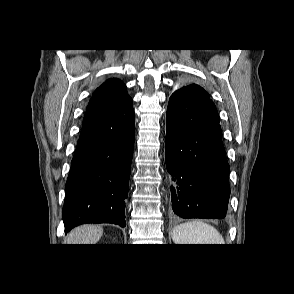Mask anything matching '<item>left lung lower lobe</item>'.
I'll list each match as a JSON object with an SVG mask.
<instances>
[{
  "label": "left lung lower lobe",
  "mask_w": 294,
  "mask_h": 294,
  "mask_svg": "<svg viewBox=\"0 0 294 294\" xmlns=\"http://www.w3.org/2000/svg\"><path fill=\"white\" fill-rule=\"evenodd\" d=\"M165 159L176 215L204 219L226 216L229 164L212 101L170 97Z\"/></svg>",
  "instance_id": "left-lung-lower-lobe-1"
}]
</instances>
